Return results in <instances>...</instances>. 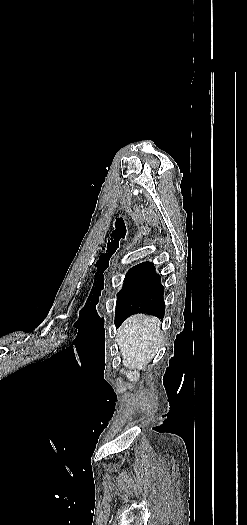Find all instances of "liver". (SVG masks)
<instances>
[{"label":"liver","mask_w":247,"mask_h":525,"mask_svg":"<svg viewBox=\"0 0 247 525\" xmlns=\"http://www.w3.org/2000/svg\"><path fill=\"white\" fill-rule=\"evenodd\" d=\"M158 317L132 315L117 331L116 345L119 347L122 363L131 371H144L145 365L157 355L164 341Z\"/></svg>","instance_id":"liver-1"}]
</instances>
